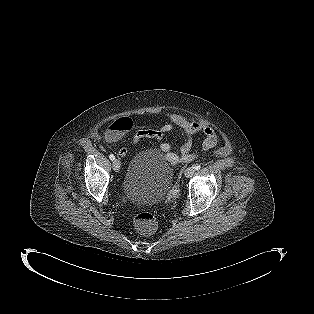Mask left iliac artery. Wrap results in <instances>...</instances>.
I'll list each match as a JSON object with an SVG mask.
<instances>
[{"mask_svg": "<svg viewBox=\"0 0 314 314\" xmlns=\"http://www.w3.org/2000/svg\"><path fill=\"white\" fill-rule=\"evenodd\" d=\"M200 168H201L200 165H195V166H194V169H195V170H199Z\"/></svg>", "mask_w": 314, "mask_h": 314, "instance_id": "44dca946", "label": "left iliac artery"}]
</instances>
